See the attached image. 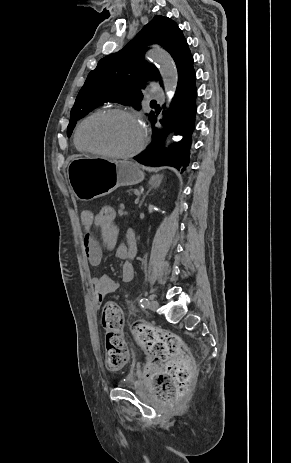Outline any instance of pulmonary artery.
<instances>
[{
  "label": "pulmonary artery",
  "mask_w": 291,
  "mask_h": 463,
  "mask_svg": "<svg viewBox=\"0 0 291 463\" xmlns=\"http://www.w3.org/2000/svg\"><path fill=\"white\" fill-rule=\"evenodd\" d=\"M149 95L151 98H161L162 97V91L157 87L156 84L152 83L150 85V90H149Z\"/></svg>",
  "instance_id": "obj_1"
}]
</instances>
